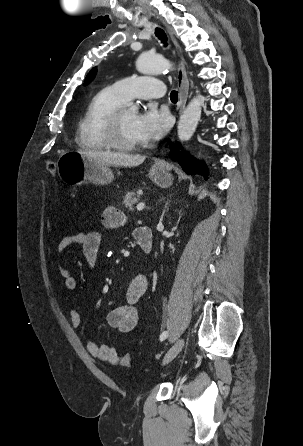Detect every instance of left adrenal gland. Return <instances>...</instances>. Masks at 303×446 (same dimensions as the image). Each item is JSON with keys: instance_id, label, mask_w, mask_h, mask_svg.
<instances>
[{"instance_id": "left-adrenal-gland-1", "label": "left adrenal gland", "mask_w": 303, "mask_h": 446, "mask_svg": "<svg viewBox=\"0 0 303 446\" xmlns=\"http://www.w3.org/2000/svg\"><path fill=\"white\" fill-rule=\"evenodd\" d=\"M170 201L167 203V211L169 210L168 206H169Z\"/></svg>"}]
</instances>
